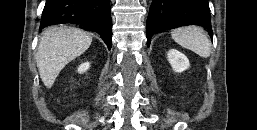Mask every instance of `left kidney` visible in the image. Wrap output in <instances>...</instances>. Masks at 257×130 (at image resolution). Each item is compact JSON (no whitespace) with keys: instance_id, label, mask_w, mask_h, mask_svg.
<instances>
[{"instance_id":"1","label":"left kidney","mask_w":257,"mask_h":130,"mask_svg":"<svg viewBox=\"0 0 257 130\" xmlns=\"http://www.w3.org/2000/svg\"><path fill=\"white\" fill-rule=\"evenodd\" d=\"M167 57L175 72H183L190 66L188 58L176 49L169 50Z\"/></svg>"}]
</instances>
